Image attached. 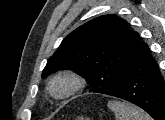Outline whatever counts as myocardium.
I'll list each match as a JSON object with an SVG mask.
<instances>
[{
	"label": "myocardium",
	"mask_w": 165,
	"mask_h": 120,
	"mask_svg": "<svg viewBox=\"0 0 165 120\" xmlns=\"http://www.w3.org/2000/svg\"><path fill=\"white\" fill-rule=\"evenodd\" d=\"M62 85V89H58V86ZM84 85L83 78L74 71L64 70L56 73L49 82L50 93L58 98L65 99L82 89Z\"/></svg>",
	"instance_id": "1"
}]
</instances>
